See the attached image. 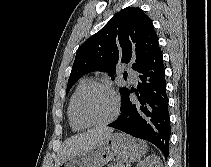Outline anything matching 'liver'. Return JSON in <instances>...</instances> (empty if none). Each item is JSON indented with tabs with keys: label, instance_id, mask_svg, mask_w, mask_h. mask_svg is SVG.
Instances as JSON below:
<instances>
[{
	"label": "liver",
	"instance_id": "6515ba94",
	"mask_svg": "<svg viewBox=\"0 0 211 167\" xmlns=\"http://www.w3.org/2000/svg\"><path fill=\"white\" fill-rule=\"evenodd\" d=\"M112 132V128L96 127L69 138L64 142V145L58 154L55 161V167H58L60 163L75 155L91 150L105 140Z\"/></svg>",
	"mask_w": 211,
	"mask_h": 167
}]
</instances>
